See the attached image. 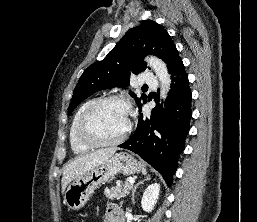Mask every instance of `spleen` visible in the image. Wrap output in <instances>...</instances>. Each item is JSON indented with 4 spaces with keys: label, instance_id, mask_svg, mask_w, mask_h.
Returning a JSON list of instances; mask_svg holds the SVG:
<instances>
[{
    "label": "spleen",
    "instance_id": "obj_1",
    "mask_svg": "<svg viewBox=\"0 0 257 222\" xmlns=\"http://www.w3.org/2000/svg\"><path fill=\"white\" fill-rule=\"evenodd\" d=\"M141 167H142V173L146 174L147 172H146V169L144 168V166L142 165Z\"/></svg>",
    "mask_w": 257,
    "mask_h": 222
}]
</instances>
